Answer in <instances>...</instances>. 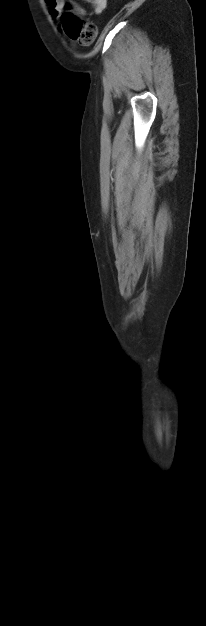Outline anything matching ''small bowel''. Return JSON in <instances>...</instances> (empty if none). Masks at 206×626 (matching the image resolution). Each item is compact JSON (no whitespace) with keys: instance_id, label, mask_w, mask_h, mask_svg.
Masks as SVG:
<instances>
[{"instance_id":"1","label":"small bowel","mask_w":206,"mask_h":626,"mask_svg":"<svg viewBox=\"0 0 206 626\" xmlns=\"http://www.w3.org/2000/svg\"><path fill=\"white\" fill-rule=\"evenodd\" d=\"M85 1L92 5L95 14L102 13L107 5V0H85ZM46 3L49 7L50 15L54 19H58L61 17L62 9L66 4L72 8L75 14L80 15V16L86 15V12L84 11V9L81 8L73 0H46Z\"/></svg>"}]
</instances>
